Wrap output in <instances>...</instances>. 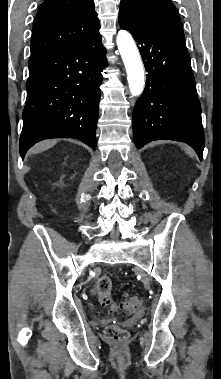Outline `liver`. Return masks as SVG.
Instances as JSON below:
<instances>
[{"label":"liver","mask_w":221,"mask_h":379,"mask_svg":"<svg viewBox=\"0 0 221 379\" xmlns=\"http://www.w3.org/2000/svg\"><path fill=\"white\" fill-rule=\"evenodd\" d=\"M56 142H57L56 140H44L42 142H39L32 149V153L43 152V151L51 148L52 146H54L56 144Z\"/></svg>","instance_id":"liver-1"}]
</instances>
